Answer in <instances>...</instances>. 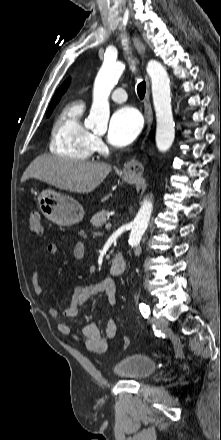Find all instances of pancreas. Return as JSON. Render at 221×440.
Segmentation results:
<instances>
[{
  "label": "pancreas",
  "instance_id": "pancreas-1",
  "mask_svg": "<svg viewBox=\"0 0 221 440\" xmlns=\"http://www.w3.org/2000/svg\"><path fill=\"white\" fill-rule=\"evenodd\" d=\"M109 211L106 209H102L101 211L97 212L90 220V223L94 227H101L106 220L108 219Z\"/></svg>",
  "mask_w": 221,
  "mask_h": 440
}]
</instances>
